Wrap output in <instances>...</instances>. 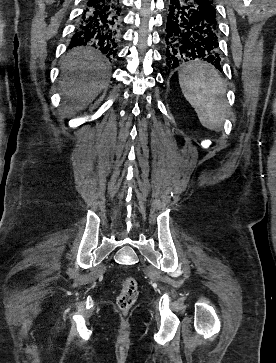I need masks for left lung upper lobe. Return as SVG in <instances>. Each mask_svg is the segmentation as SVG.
I'll use <instances>...</instances> for the list:
<instances>
[{
  "instance_id": "5c2ea615",
  "label": "left lung upper lobe",
  "mask_w": 276,
  "mask_h": 363,
  "mask_svg": "<svg viewBox=\"0 0 276 363\" xmlns=\"http://www.w3.org/2000/svg\"><path fill=\"white\" fill-rule=\"evenodd\" d=\"M214 7H215V2L214 0H208Z\"/></svg>"
}]
</instances>
